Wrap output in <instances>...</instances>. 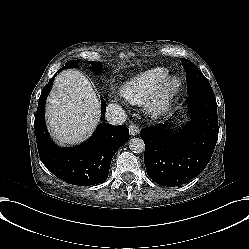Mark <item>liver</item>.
I'll use <instances>...</instances> for the list:
<instances>
[{
    "label": "liver",
    "instance_id": "6515ba94",
    "mask_svg": "<svg viewBox=\"0 0 249 249\" xmlns=\"http://www.w3.org/2000/svg\"><path fill=\"white\" fill-rule=\"evenodd\" d=\"M45 116L53 138L73 146L92 135L100 122L101 104L88 79L68 70L56 77Z\"/></svg>",
    "mask_w": 249,
    "mask_h": 249
}]
</instances>
